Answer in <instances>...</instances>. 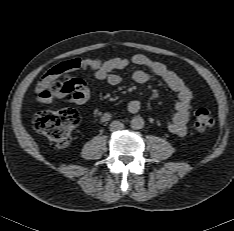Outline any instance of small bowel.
Segmentation results:
<instances>
[{"mask_svg": "<svg viewBox=\"0 0 234 231\" xmlns=\"http://www.w3.org/2000/svg\"><path fill=\"white\" fill-rule=\"evenodd\" d=\"M61 65L52 67L37 83L35 89L37 102L47 104L52 101L53 96L48 89L51 83L59 76ZM80 65L83 69L92 70L96 79L105 81L110 86H118L121 83L122 79L116 73L117 70L125 69L131 65L148 68L151 73L144 70H136L132 75V79L136 83L145 84L154 78H158L169 89L174 91L177 94V102L175 104L176 112L167 122L166 126L169 132L178 137H184L187 134V124L192 111V91L185 81L165 64L143 54H134L108 60L84 58ZM66 92H72L68 101L75 104H84L91 97V90L83 79H73L67 89L62 91V93ZM140 108L141 104L137 100H133L128 104V110L131 113L138 112Z\"/></svg>", "mask_w": 234, "mask_h": 231, "instance_id": "c3829d8e", "label": "small bowel"}]
</instances>
